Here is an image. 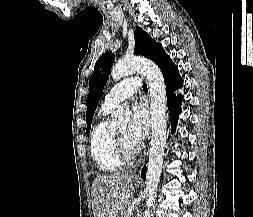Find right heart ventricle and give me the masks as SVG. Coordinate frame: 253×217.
Masks as SVG:
<instances>
[{
  "label": "right heart ventricle",
  "mask_w": 253,
  "mask_h": 217,
  "mask_svg": "<svg viewBox=\"0 0 253 217\" xmlns=\"http://www.w3.org/2000/svg\"><path fill=\"white\" fill-rule=\"evenodd\" d=\"M111 110L101 108L100 119L90 135V151L94 162L101 171L115 174L123 169L126 161L122 160L115 151L113 130L109 127L107 120Z\"/></svg>",
  "instance_id": "e07e8e85"
}]
</instances>
